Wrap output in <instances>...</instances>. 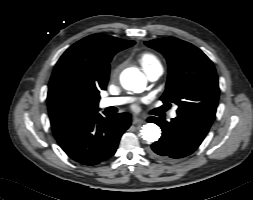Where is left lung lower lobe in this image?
<instances>
[{"label":"left lung lower lobe","instance_id":"0a47b994","mask_svg":"<svg viewBox=\"0 0 253 200\" xmlns=\"http://www.w3.org/2000/svg\"><path fill=\"white\" fill-rule=\"evenodd\" d=\"M162 129L161 138L151 145L150 154L164 162H174L192 154L204 140L212 119L195 114H178L170 122L151 117Z\"/></svg>","mask_w":253,"mask_h":200}]
</instances>
